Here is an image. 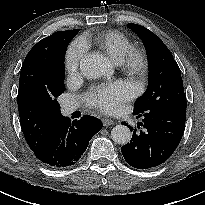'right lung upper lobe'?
<instances>
[{
	"mask_svg": "<svg viewBox=\"0 0 205 205\" xmlns=\"http://www.w3.org/2000/svg\"><path fill=\"white\" fill-rule=\"evenodd\" d=\"M79 29L55 32L35 44L27 54L20 72L18 110L24 137L32 148L41 134L61 113L53 106V70L58 50Z\"/></svg>",
	"mask_w": 205,
	"mask_h": 205,
	"instance_id": "obj_1",
	"label": "right lung upper lobe"
}]
</instances>
